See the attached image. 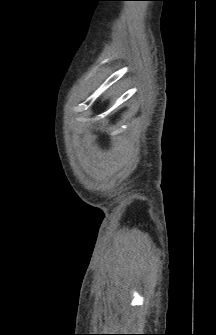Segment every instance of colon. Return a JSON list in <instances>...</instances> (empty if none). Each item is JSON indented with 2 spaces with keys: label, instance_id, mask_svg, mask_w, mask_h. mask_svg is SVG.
<instances>
[{
  "label": "colon",
  "instance_id": "colon-1",
  "mask_svg": "<svg viewBox=\"0 0 216 335\" xmlns=\"http://www.w3.org/2000/svg\"><path fill=\"white\" fill-rule=\"evenodd\" d=\"M92 159H93V160H96V159H97V156H96V155H93V156H92Z\"/></svg>",
  "mask_w": 216,
  "mask_h": 335
}]
</instances>
